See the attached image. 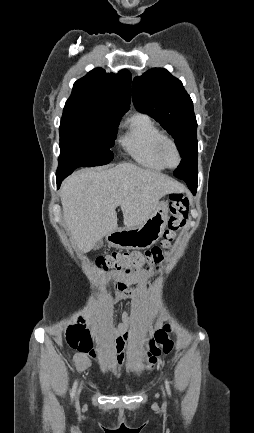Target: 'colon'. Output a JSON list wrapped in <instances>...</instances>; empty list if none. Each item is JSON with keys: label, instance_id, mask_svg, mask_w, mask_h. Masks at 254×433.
I'll use <instances>...</instances> for the list:
<instances>
[{"label": "colon", "instance_id": "colon-1", "mask_svg": "<svg viewBox=\"0 0 254 433\" xmlns=\"http://www.w3.org/2000/svg\"><path fill=\"white\" fill-rule=\"evenodd\" d=\"M189 199L181 193H172L169 197L168 207L170 216L168 227L164 232V238L160 245L154 246L144 252L140 251H113L96 260L97 268L102 272L112 270L130 274L132 272H150L156 268L165 258L178 233L182 230L189 215ZM172 328L165 324L148 339L146 350V365L153 368L157 358L162 354H168L173 348L171 339ZM68 345L81 353L93 354V346L89 330L83 323L70 327L66 334Z\"/></svg>", "mask_w": 254, "mask_h": 433}]
</instances>
